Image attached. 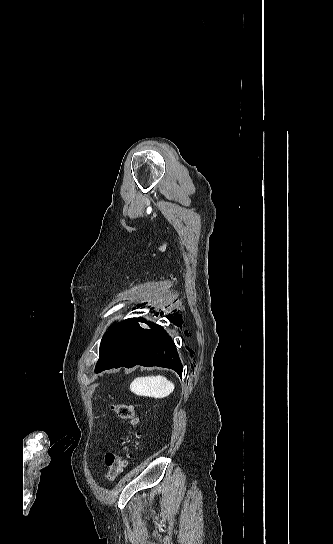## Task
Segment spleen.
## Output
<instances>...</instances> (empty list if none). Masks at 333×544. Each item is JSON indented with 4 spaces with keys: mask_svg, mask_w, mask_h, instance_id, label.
Instances as JSON below:
<instances>
[{
    "mask_svg": "<svg viewBox=\"0 0 333 544\" xmlns=\"http://www.w3.org/2000/svg\"><path fill=\"white\" fill-rule=\"evenodd\" d=\"M174 388L171 381L160 375L136 378L130 385L131 391L136 395L156 399L169 396Z\"/></svg>",
    "mask_w": 333,
    "mask_h": 544,
    "instance_id": "spleen-1",
    "label": "spleen"
}]
</instances>
